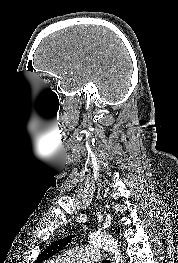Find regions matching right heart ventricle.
Segmentation results:
<instances>
[{
  "instance_id": "1",
  "label": "right heart ventricle",
  "mask_w": 178,
  "mask_h": 263,
  "mask_svg": "<svg viewBox=\"0 0 178 263\" xmlns=\"http://www.w3.org/2000/svg\"><path fill=\"white\" fill-rule=\"evenodd\" d=\"M50 263H59L57 260H52Z\"/></svg>"
}]
</instances>
